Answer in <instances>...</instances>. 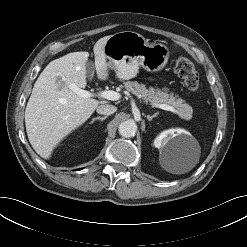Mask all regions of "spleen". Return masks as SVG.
Wrapping results in <instances>:
<instances>
[{"mask_svg": "<svg viewBox=\"0 0 247 247\" xmlns=\"http://www.w3.org/2000/svg\"><path fill=\"white\" fill-rule=\"evenodd\" d=\"M183 172H185V170H182V169H181V170H179V173H183Z\"/></svg>", "mask_w": 247, "mask_h": 247, "instance_id": "spleen-1", "label": "spleen"}]
</instances>
